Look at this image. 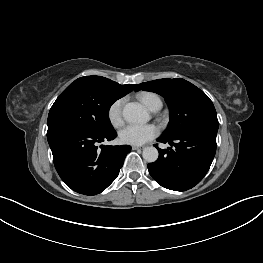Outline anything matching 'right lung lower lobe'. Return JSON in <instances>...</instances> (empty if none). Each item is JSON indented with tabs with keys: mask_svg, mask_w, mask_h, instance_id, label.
I'll use <instances>...</instances> for the list:
<instances>
[{
	"mask_svg": "<svg viewBox=\"0 0 263 263\" xmlns=\"http://www.w3.org/2000/svg\"><path fill=\"white\" fill-rule=\"evenodd\" d=\"M115 131L97 134L79 129L58 130L47 135L55 168L61 179L74 191L96 195L118 176L129 145H100L116 138Z\"/></svg>",
	"mask_w": 263,
	"mask_h": 263,
	"instance_id": "right-lung-lower-lobe-1",
	"label": "right lung lower lobe"
}]
</instances>
